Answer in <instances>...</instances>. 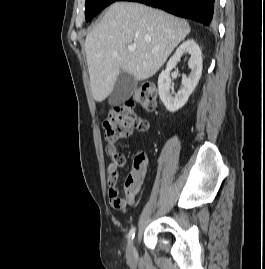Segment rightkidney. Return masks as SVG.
<instances>
[{
	"mask_svg": "<svg viewBox=\"0 0 265 269\" xmlns=\"http://www.w3.org/2000/svg\"><path fill=\"white\" fill-rule=\"evenodd\" d=\"M189 53L188 67L191 70L188 77L182 78V88L175 96L170 92L171 78L170 71L180 61L183 54ZM202 74V53L200 47L193 39L183 42L175 51L167 63L166 69L161 72L158 78L159 96L169 112H176L188 101L189 96L197 86Z\"/></svg>",
	"mask_w": 265,
	"mask_h": 269,
	"instance_id": "ca27d5eb",
	"label": "right kidney"
}]
</instances>
